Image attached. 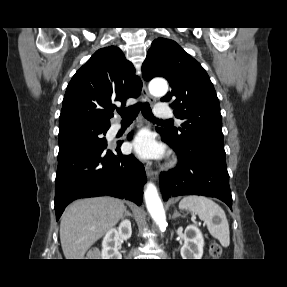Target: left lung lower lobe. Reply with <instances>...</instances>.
Listing matches in <instances>:
<instances>
[{
    "label": "left lung lower lobe",
    "instance_id": "left-lung-lower-lobe-1",
    "mask_svg": "<svg viewBox=\"0 0 287 287\" xmlns=\"http://www.w3.org/2000/svg\"><path fill=\"white\" fill-rule=\"evenodd\" d=\"M162 136L179 158L175 169L160 175L163 199L179 195H203L216 197L231 208L232 196L225 159L201 150L182 151L164 134Z\"/></svg>",
    "mask_w": 287,
    "mask_h": 287
}]
</instances>
